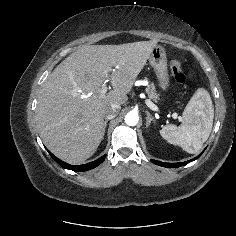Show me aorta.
I'll use <instances>...</instances> for the list:
<instances>
[{
    "mask_svg": "<svg viewBox=\"0 0 236 236\" xmlns=\"http://www.w3.org/2000/svg\"><path fill=\"white\" fill-rule=\"evenodd\" d=\"M139 121V116L135 112H128L125 116V123L129 126H135Z\"/></svg>",
    "mask_w": 236,
    "mask_h": 236,
    "instance_id": "aorta-1",
    "label": "aorta"
}]
</instances>
